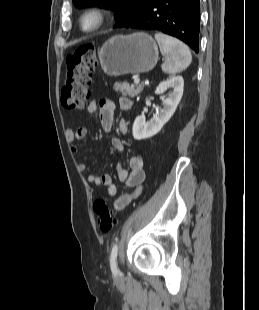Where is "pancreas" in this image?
<instances>
[{"label":"pancreas","instance_id":"1","mask_svg":"<svg viewBox=\"0 0 259 310\" xmlns=\"http://www.w3.org/2000/svg\"><path fill=\"white\" fill-rule=\"evenodd\" d=\"M144 84H135L130 85L126 82L123 83H115L114 90L116 92H120L122 96L126 97H135L143 90Z\"/></svg>","mask_w":259,"mask_h":310}]
</instances>
